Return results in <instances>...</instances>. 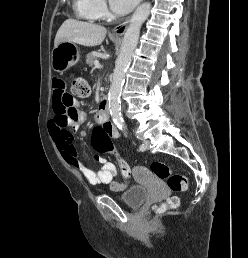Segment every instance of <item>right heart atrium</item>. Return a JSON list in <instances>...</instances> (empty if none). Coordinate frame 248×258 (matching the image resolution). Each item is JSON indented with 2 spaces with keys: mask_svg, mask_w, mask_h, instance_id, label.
I'll return each mask as SVG.
<instances>
[{
  "mask_svg": "<svg viewBox=\"0 0 248 258\" xmlns=\"http://www.w3.org/2000/svg\"><path fill=\"white\" fill-rule=\"evenodd\" d=\"M94 9L98 17H105L108 13L105 0H93Z\"/></svg>",
  "mask_w": 248,
  "mask_h": 258,
  "instance_id": "1",
  "label": "right heart atrium"
}]
</instances>
